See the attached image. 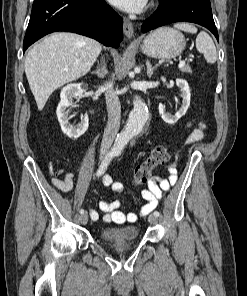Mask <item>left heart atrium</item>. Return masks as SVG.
I'll return each mask as SVG.
<instances>
[{"mask_svg":"<svg viewBox=\"0 0 247 296\" xmlns=\"http://www.w3.org/2000/svg\"><path fill=\"white\" fill-rule=\"evenodd\" d=\"M115 7L132 13L141 12L147 4V0H108Z\"/></svg>","mask_w":247,"mask_h":296,"instance_id":"left-heart-atrium-1","label":"left heart atrium"}]
</instances>
